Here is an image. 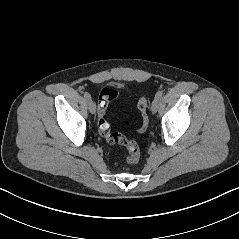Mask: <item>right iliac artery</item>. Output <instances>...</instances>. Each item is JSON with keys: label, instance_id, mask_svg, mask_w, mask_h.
Masks as SVG:
<instances>
[{"label": "right iliac artery", "instance_id": "obj_1", "mask_svg": "<svg viewBox=\"0 0 239 239\" xmlns=\"http://www.w3.org/2000/svg\"><path fill=\"white\" fill-rule=\"evenodd\" d=\"M84 97H85L87 100H91V95H90L88 92H85V93H84Z\"/></svg>", "mask_w": 239, "mask_h": 239}]
</instances>
